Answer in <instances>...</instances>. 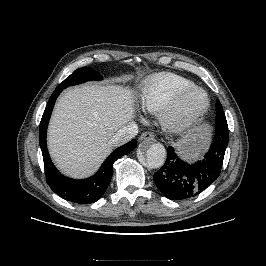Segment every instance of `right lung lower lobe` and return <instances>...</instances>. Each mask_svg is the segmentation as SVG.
Wrapping results in <instances>:
<instances>
[{
    "instance_id": "1",
    "label": "right lung lower lobe",
    "mask_w": 266,
    "mask_h": 266,
    "mask_svg": "<svg viewBox=\"0 0 266 266\" xmlns=\"http://www.w3.org/2000/svg\"><path fill=\"white\" fill-rule=\"evenodd\" d=\"M62 89L56 88L52 93L43 113L39 127V143L42 150L46 181L50 188L63 199L78 203L89 204L97 201L106 191L113 173L114 162L123 155L131 152L136 146L132 140L113 151L104 161L99 171L84 180H74L63 176L53 165L46 144V132L55 101Z\"/></svg>"
}]
</instances>
